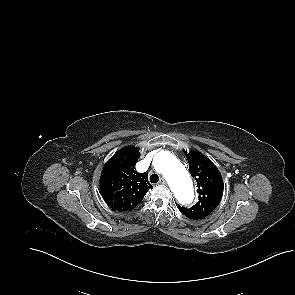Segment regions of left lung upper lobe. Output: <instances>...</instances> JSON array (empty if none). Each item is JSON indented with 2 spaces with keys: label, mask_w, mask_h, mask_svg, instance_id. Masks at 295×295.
<instances>
[{
  "label": "left lung upper lobe",
  "mask_w": 295,
  "mask_h": 295,
  "mask_svg": "<svg viewBox=\"0 0 295 295\" xmlns=\"http://www.w3.org/2000/svg\"><path fill=\"white\" fill-rule=\"evenodd\" d=\"M189 162V170L197 183L199 201L191 208L178 205L183 215L202 219L209 215L220 203L223 195L221 174L213 162L200 152L184 151Z\"/></svg>",
  "instance_id": "5c2ea615"
}]
</instances>
